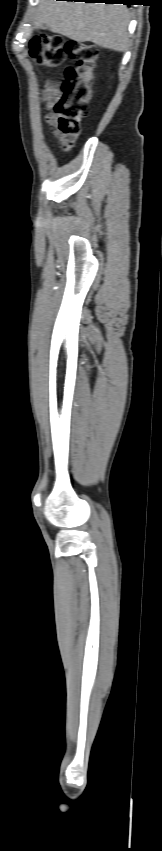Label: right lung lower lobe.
<instances>
[{
	"label": "right lung lower lobe",
	"instance_id": "98d812e1",
	"mask_svg": "<svg viewBox=\"0 0 162 851\" xmlns=\"http://www.w3.org/2000/svg\"><path fill=\"white\" fill-rule=\"evenodd\" d=\"M67 1H85V2H95V3L102 2V3H106V4L122 3L124 5H130L131 2L134 1V0H67Z\"/></svg>",
	"mask_w": 162,
	"mask_h": 851
}]
</instances>
